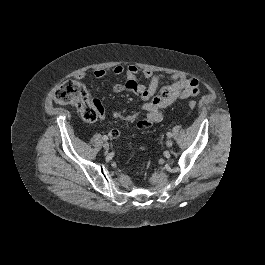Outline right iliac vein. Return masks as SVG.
I'll return each instance as SVG.
<instances>
[{
  "label": "right iliac vein",
  "instance_id": "obj_1",
  "mask_svg": "<svg viewBox=\"0 0 265 265\" xmlns=\"http://www.w3.org/2000/svg\"><path fill=\"white\" fill-rule=\"evenodd\" d=\"M109 143L108 142H105L104 144H103V148L105 149V150H108L109 149Z\"/></svg>",
  "mask_w": 265,
  "mask_h": 265
}]
</instances>
